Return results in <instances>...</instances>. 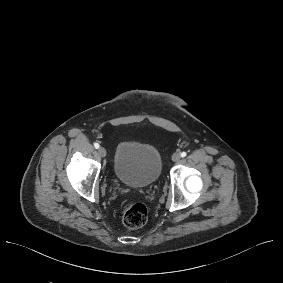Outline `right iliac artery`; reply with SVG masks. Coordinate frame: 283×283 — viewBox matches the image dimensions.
<instances>
[{
  "label": "right iliac artery",
  "instance_id": "82829eb1",
  "mask_svg": "<svg viewBox=\"0 0 283 283\" xmlns=\"http://www.w3.org/2000/svg\"><path fill=\"white\" fill-rule=\"evenodd\" d=\"M94 147L97 149L100 147V145L98 143H94Z\"/></svg>",
  "mask_w": 283,
  "mask_h": 283
}]
</instances>
